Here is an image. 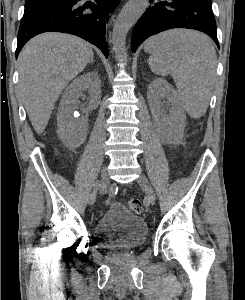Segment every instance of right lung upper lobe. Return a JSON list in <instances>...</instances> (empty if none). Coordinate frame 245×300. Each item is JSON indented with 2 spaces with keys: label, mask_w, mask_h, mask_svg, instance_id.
Listing matches in <instances>:
<instances>
[{
  "label": "right lung upper lobe",
  "mask_w": 245,
  "mask_h": 300,
  "mask_svg": "<svg viewBox=\"0 0 245 300\" xmlns=\"http://www.w3.org/2000/svg\"><path fill=\"white\" fill-rule=\"evenodd\" d=\"M28 1H34V0H25V2H28Z\"/></svg>",
  "instance_id": "cb5924a9"
}]
</instances>
